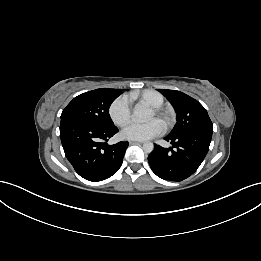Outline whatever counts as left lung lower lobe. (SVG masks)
I'll use <instances>...</instances> for the list:
<instances>
[{
  "mask_svg": "<svg viewBox=\"0 0 261 261\" xmlns=\"http://www.w3.org/2000/svg\"><path fill=\"white\" fill-rule=\"evenodd\" d=\"M212 138V131L196 130L164 138L172 147L154 146L148 156L152 171L160 178L182 181L191 176L204 160Z\"/></svg>",
  "mask_w": 261,
  "mask_h": 261,
  "instance_id": "obj_1",
  "label": "left lung lower lobe"
}]
</instances>
